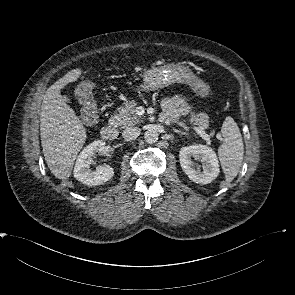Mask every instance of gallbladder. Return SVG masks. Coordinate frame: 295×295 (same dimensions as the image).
<instances>
[{"mask_svg": "<svg viewBox=\"0 0 295 295\" xmlns=\"http://www.w3.org/2000/svg\"><path fill=\"white\" fill-rule=\"evenodd\" d=\"M64 100L67 101V102H70V97L65 96V97H64Z\"/></svg>", "mask_w": 295, "mask_h": 295, "instance_id": "1", "label": "gallbladder"}]
</instances>
